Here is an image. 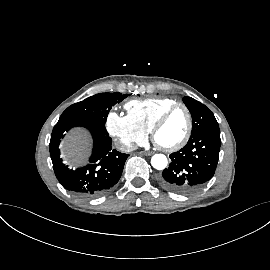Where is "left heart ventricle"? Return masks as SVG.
<instances>
[{
	"mask_svg": "<svg viewBox=\"0 0 270 270\" xmlns=\"http://www.w3.org/2000/svg\"><path fill=\"white\" fill-rule=\"evenodd\" d=\"M187 129V115L184 109H176L160 128L156 141L162 146H171L179 142Z\"/></svg>",
	"mask_w": 270,
	"mask_h": 270,
	"instance_id": "left-heart-ventricle-1",
	"label": "left heart ventricle"
}]
</instances>
